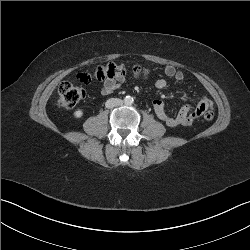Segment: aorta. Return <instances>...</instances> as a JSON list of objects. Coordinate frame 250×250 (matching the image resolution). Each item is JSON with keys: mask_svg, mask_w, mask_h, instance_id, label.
Segmentation results:
<instances>
[{"mask_svg": "<svg viewBox=\"0 0 250 250\" xmlns=\"http://www.w3.org/2000/svg\"><path fill=\"white\" fill-rule=\"evenodd\" d=\"M133 97H131V96H126L125 98H124V104L125 105H127V106H130V105H132L133 104Z\"/></svg>", "mask_w": 250, "mask_h": 250, "instance_id": "aorta-1", "label": "aorta"}]
</instances>
